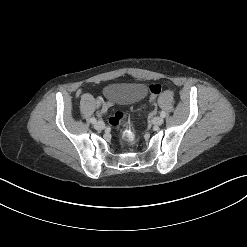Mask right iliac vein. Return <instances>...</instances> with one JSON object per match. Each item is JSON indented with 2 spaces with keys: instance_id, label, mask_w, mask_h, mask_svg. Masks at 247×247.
<instances>
[{
  "instance_id": "63e3f726",
  "label": "right iliac vein",
  "mask_w": 247,
  "mask_h": 247,
  "mask_svg": "<svg viewBox=\"0 0 247 247\" xmlns=\"http://www.w3.org/2000/svg\"><path fill=\"white\" fill-rule=\"evenodd\" d=\"M105 128V124L103 121H98L96 124H95V129L96 130H103Z\"/></svg>"
}]
</instances>
